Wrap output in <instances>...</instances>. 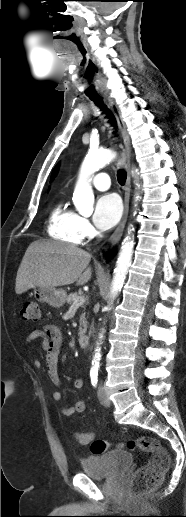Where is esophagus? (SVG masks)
Segmentation results:
<instances>
[{
    "label": "esophagus",
    "instance_id": "esophagus-1",
    "mask_svg": "<svg viewBox=\"0 0 186 517\" xmlns=\"http://www.w3.org/2000/svg\"><path fill=\"white\" fill-rule=\"evenodd\" d=\"M105 97L116 117L119 129H120V132L122 135V139H123V143H124L123 155H124V160L126 161V169H127L123 216H122V219H121L119 225L117 226V228L115 229V231L109 238V244L111 247H113L114 245H116L118 243V241L120 240V238L123 234L125 224L127 221V217H128V212H129V201H130V193H131V176H130L131 142H130L129 134L127 132L126 124L122 118V115L118 109V106L111 98H109L107 96H105Z\"/></svg>",
    "mask_w": 186,
    "mask_h": 517
}]
</instances>
